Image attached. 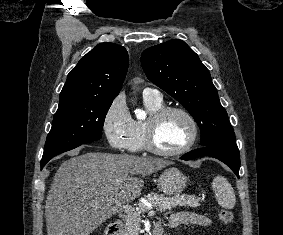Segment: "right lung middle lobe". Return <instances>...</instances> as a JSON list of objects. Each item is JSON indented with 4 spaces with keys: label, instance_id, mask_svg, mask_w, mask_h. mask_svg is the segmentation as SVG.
Returning <instances> with one entry per match:
<instances>
[{
    "label": "right lung middle lobe",
    "instance_id": "dd1d6c3e",
    "mask_svg": "<svg viewBox=\"0 0 283 235\" xmlns=\"http://www.w3.org/2000/svg\"><path fill=\"white\" fill-rule=\"evenodd\" d=\"M112 101L73 99L59 102L41 162L81 144L99 140Z\"/></svg>",
    "mask_w": 283,
    "mask_h": 235
}]
</instances>
